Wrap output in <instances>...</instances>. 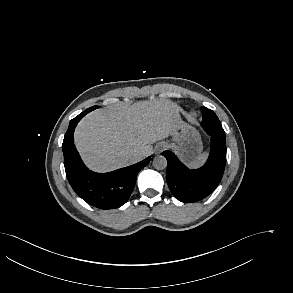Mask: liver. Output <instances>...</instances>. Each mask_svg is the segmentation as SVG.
<instances>
[{
    "label": "liver",
    "mask_w": 293,
    "mask_h": 293,
    "mask_svg": "<svg viewBox=\"0 0 293 293\" xmlns=\"http://www.w3.org/2000/svg\"><path fill=\"white\" fill-rule=\"evenodd\" d=\"M181 120L178 107L169 101L114 104L86 115L75 132V146L83 161L106 172L136 163L152 153V144L171 135ZM138 162V161H137Z\"/></svg>",
    "instance_id": "obj_1"
}]
</instances>
